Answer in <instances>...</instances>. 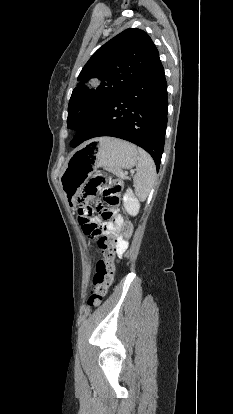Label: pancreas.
<instances>
[{
	"instance_id": "1",
	"label": "pancreas",
	"mask_w": 233,
	"mask_h": 414,
	"mask_svg": "<svg viewBox=\"0 0 233 414\" xmlns=\"http://www.w3.org/2000/svg\"><path fill=\"white\" fill-rule=\"evenodd\" d=\"M117 176L121 177V178H126L125 176L122 175V171H117L115 172Z\"/></svg>"
}]
</instances>
